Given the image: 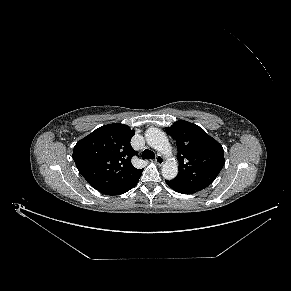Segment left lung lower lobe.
Here are the masks:
<instances>
[{
    "label": "left lung lower lobe",
    "instance_id": "1",
    "mask_svg": "<svg viewBox=\"0 0 291 291\" xmlns=\"http://www.w3.org/2000/svg\"><path fill=\"white\" fill-rule=\"evenodd\" d=\"M166 184L170 188L175 190L176 192H179L182 194H193L206 188L207 186L211 184V182H206V181L184 182V181H179L177 179H172V180L166 181Z\"/></svg>",
    "mask_w": 291,
    "mask_h": 291
}]
</instances>
